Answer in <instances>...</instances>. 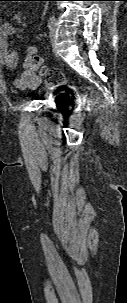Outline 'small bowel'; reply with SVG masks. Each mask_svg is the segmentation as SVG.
Returning a JSON list of instances; mask_svg holds the SVG:
<instances>
[{"label":"small bowel","mask_w":127,"mask_h":303,"mask_svg":"<svg viewBox=\"0 0 127 303\" xmlns=\"http://www.w3.org/2000/svg\"><path fill=\"white\" fill-rule=\"evenodd\" d=\"M15 33V28L8 22L0 24V64L7 69H14L18 64V53L9 49L8 38ZM35 52L34 48L29 53ZM41 82L40 77L31 67L29 57L24 61L21 76L16 79L15 85L20 89L36 88Z\"/></svg>","instance_id":"c3829d8e"}]
</instances>
